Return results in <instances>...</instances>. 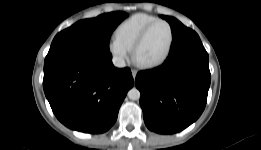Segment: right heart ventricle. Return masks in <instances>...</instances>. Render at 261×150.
<instances>
[{
    "mask_svg": "<svg viewBox=\"0 0 261 150\" xmlns=\"http://www.w3.org/2000/svg\"><path fill=\"white\" fill-rule=\"evenodd\" d=\"M157 19L159 18L150 14L136 13L117 25L115 38L131 50L144 28Z\"/></svg>",
    "mask_w": 261,
    "mask_h": 150,
    "instance_id": "e07e8e85",
    "label": "right heart ventricle"
}]
</instances>
